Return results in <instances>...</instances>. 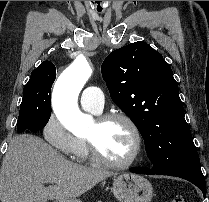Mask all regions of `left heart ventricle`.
I'll list each match as a JSON object with an SVG mask.
<instances>
[{"label": "left heart ventricle", "mask_w": 209, "mask_h": 202, "mask_svg": "<svg viewBox=\"0 0 209 202\" xmlns=\"http://www.w3.org/2000/svg\"><path fill=\"white\" fill-rule=\"evenodd\" d=\"M85 137L93 139L101 153L115 162L127 160L135 144L130 127L123 121H112L104 126L95 121Z\"/></svg>", "instance_id": "left-heart-ventricle-1"}]
</instances>
